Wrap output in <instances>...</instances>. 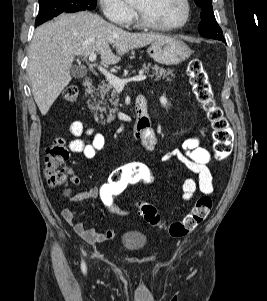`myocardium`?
Listing matches in <instances>:
<instances>
[{
    "instance_id": "1",
    "label": "myocardium",
    "mask_w": 267,
    "mask_h": 301,
    "mask_svg": "<svg viewBox=\"0 0 267 301\" xmlns=\"http://www.w3.org/2000/svg\"><path fill=\"white\" fill-rule=\"evenodd\" d=\"M182 2L184 4L185 12H184L183 18L178 23L170 24V25L157 24V23L151 21L150 19H148L141 12V10H139L138 8L135 7L138 22L141 26H143L147 29L155 30V31L168 32V31L178 30V29L184 27L188 23L190 16H191V5H190L189 0H182Z\"/></svg>"
}]
</instances>
